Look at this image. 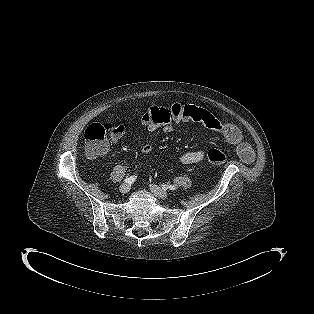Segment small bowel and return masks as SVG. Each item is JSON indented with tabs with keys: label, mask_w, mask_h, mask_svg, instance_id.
Segmentation results:
<instances>
[{
	"label": "small bowel",
	"mask_w": 314,
	"mask_h": 314,
	"mask_svg": "<svg viewBox=\"0 0 314 314\" xmlns=\"http://www.w3.org/2000/svg\"><path fill=\"white\" fill-rule=\"evenodd\" d=\"M196 122L210 131L216 132L229 144L236 146L237 154L242 162L250 164L254 160L252 147L243 141L240 129L226 121H222L214 116L208 110L197 106H186L173 104L165 107L163 110H150L143 116L142 125L148 131H153L162 125L164 133H170L173 130V123L177 122ZM167 122L166 124H164ZM125 129L118 133L112 140H117L123 136ZM152 150L149 143H144L140 147L143 154H148ZM205 159V153L202 150L190 151L182 155L181 162L191 165L202 162Z\"/></svg>",
	"instance_id": "obj_1"
}]
</instances>
